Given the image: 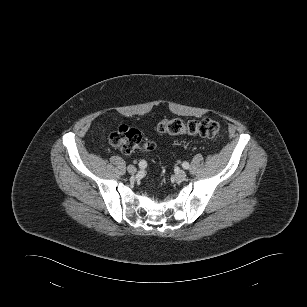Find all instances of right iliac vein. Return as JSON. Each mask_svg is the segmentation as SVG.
Returning a JSON list of instances; mask_svg holds the SVG:
<instances>
[{"label":"right iliac vein","instance_id":"obj_1","mask_svg":"<svg viewBox=\"0 0 307 307\" xmlns=\"http://www.w3.org/2000/svg\"><path fill=\"white\" fill-rule=\"evenodd\" d=\"M127 171H128V173H130L131 175H133V174L136 173L137 169H136V167L130 165V166L127 167Z\"/></svg>","mask_w":307,"mask_h":307}]
</instances>
